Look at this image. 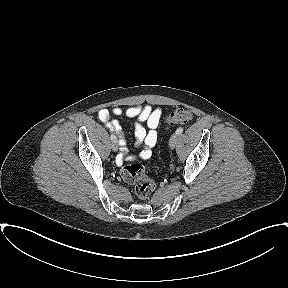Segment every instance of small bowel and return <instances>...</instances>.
Segmentation results:
<instances>
[{"mask_svg":"<svg viewBox=\"0 0 288 288\" xmlns=\"http://www.w3.org/2000/svg\"><path fill=\"white\" fill-rule=\"evenodd\" d=\"M113 116L125 115L128 118H135V138L136 146L141 147L140 157L148 159L152 156V148L157 143V127L162 117V110L159 108L153 109L149 105L133 106L123 110L120 107H113L112 109H101L98 112V117L106 127L112 132L116 133L120 138L121 153L117 157V164L121 165L125 160H133V156L127 155L126 137L119 121ZM143 123L146 124L145 128Z\"/></svg>","mask_w":288,"mask_h":288,"instance_id":"1","label":"small bowel"}]
</instances>
